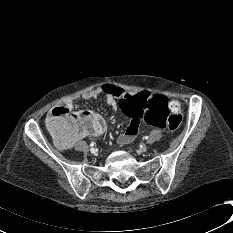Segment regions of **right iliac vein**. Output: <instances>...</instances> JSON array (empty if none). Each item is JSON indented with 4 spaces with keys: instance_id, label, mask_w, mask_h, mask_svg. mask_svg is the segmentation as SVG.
I'll return each instance as SVG.
<instances>
[{
    "instance_id": "63e3f726",
    "label": "right iliac vein",
    "mask_w": 233,
    "mask_h": 233,
    "mask_svg": "<svg viewBox=\"0 0 233 233\" xmlns=\"http://www.w3.org/2000/svg\"><path fill=\"white\" fill-rule=\"evenodd\" d=\"M90 152H91L92 154H96V150H95V149H91Z\"/></svg>"
}]
</instances>
